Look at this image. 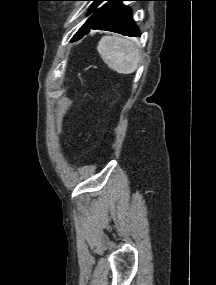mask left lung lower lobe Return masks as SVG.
I'll use <instances>...</instances> for the list:
<instances>
[{"label": "left lung lower lobe", "mask_w": 216, "mask_h": 285, "mask_svg": "<svg viewBox=\"0 0 216 285\" xmlns=\"http://www.w3.org/2000/svg\"><path fill=\"white\" fill-rule=\"evenodd\" d=\"M123 1H140V0H118L114 5L101 14L91 26L83 31H78L72 41L82 38L90 32L91 29H99L128 35L130 37L140 36L138 27L135 25L131 10L122 5Z\"/></svg>", "instance_id": "left-lung-lower-lobe-1"}]
</instances>
